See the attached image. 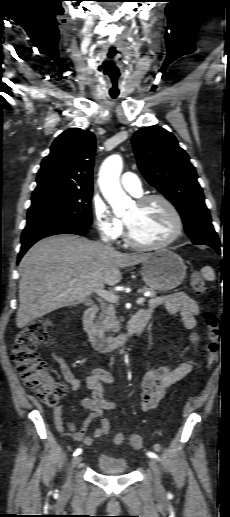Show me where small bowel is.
Wrapping results in <instances>:
<instances>
[{"label":"small bowel","instance_id":"1","mask_svg":"<svg viewBox=\"0 0 230 517\" xmlns=\"http://www.w3.org/2000/svg\"><path fill=\"white\" fill-rule=\"evenodd\" d=\"M159 305H164L170 313L179 315L187 329H195L199 308L197 303L187 294L177 292L154 298L150 301L148 310L150 311ZM198 342L199 335L193 332L190 336V343L194 351H196ZM53 359L59 365L63 378L70 385L71 389L78 391L81 387V382L74 376L65 359L56 353L53 354ZM193 362L194 357L191 356L175 369H171L166 365L152 366L142 379L141 410L148 412L156 408L164 398L167 388L188 375L193 367ZM114 381V376L108 370L94 368L85 379L86 392L80 398L81 406L89 410V415L81 426H77L71 422H65L62 416V408L60 406L56 407L53 411V417L58 432L86 446L92 445L94 439L106 435L109 432L110 425L105 419L101 420L100 426L94 430L92 435H87L86 431L95 419L102 418L105 411L116 409L117 404L106 399L103 390V383L111 385ZM129 437L127 438L123 433H118L114 436L113 441L116 445H120L126 439L129 441Z\"/></svg>","mask_w":230,"mask_h":517}]
</instances>
